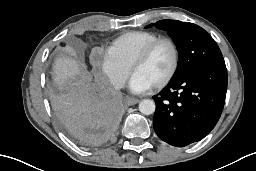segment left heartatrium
<instances>
[{"label":"left heart atrium","mask_w":256,"mask_h":171,"mask_svg":"<svg viewBox=\"0 0 256 171\" xmlns=\"http://www.w3.org/2000/svg\"><path fill=\"white\" fill-rule=\"evenodd\" d=\"M152 86L143 80L139 75L133 74L129 81V88L134 93H142L148 89H150Z\"/></svg>","instance_id":"1"}]
</instances>
